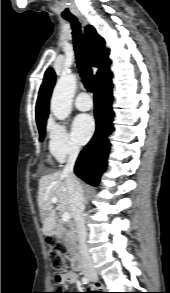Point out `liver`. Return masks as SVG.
Listing matches in <instances>:
<instances>
[{
  "label": "liver",
  "instance_id": "liver-1",
  "mask_svg": "<svg viewBox=\"0 0 170 293\" xmlns=\"http://www.w3.org/2000/svg\"><path fill=\"white\" fill-rule=\"evenodd\" d=\"M58 199L57 210L70 212L72 215L71 197L67 188L66 178L62 172L45 175L39 180L38 206L43 224V233L49 234L56 228V209L51 199Z\"/></svg>",
  "mask_w": 170,
  "mask_h": 293
}]
</instances>
